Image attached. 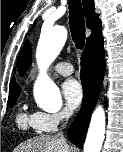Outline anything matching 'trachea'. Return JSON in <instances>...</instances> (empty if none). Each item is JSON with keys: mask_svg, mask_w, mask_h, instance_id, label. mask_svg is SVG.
<instances>
[{"mask_svg": "<svg viewBox=\"0 0 123 152\" xmlns=\"http://www.w3.org/2000/svg\"><path fill=\"white\" fill-rule=\"evenodd\" d=\"M68 4L72 39L78 49H83L85 44V21L81 0H68Z\"/></svg>", "mask_w": 123, "mask_h": 152, "instance_id": "trachea-1", "label": "trachea"}]
</instances>
